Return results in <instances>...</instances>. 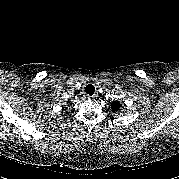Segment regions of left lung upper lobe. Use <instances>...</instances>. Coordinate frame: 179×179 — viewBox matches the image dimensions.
Listing matches in <instances>:
<instances>
[{
  "label": "left lung upper lobe",
  "instance_id": "obj_1",
  "mask_svg": "<svg viewBox=\"0 0 179 179\" xmlns=\"http://www.w3.org/2000/svg\"><path fill=\"white\" fill-rule=\"evenodd\" d=\"M121 107V104L117 101L111 103V108L114 112L118 111Z\"/></svg>",
  "mask_w": 179,
  "mask_h": 179
}]
</instances>
